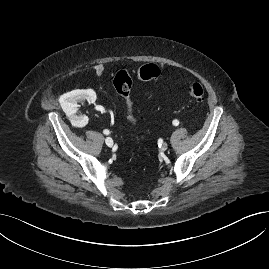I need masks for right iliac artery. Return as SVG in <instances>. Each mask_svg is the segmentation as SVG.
I'll list each match as a JSON object with an SVG mask.
<instances>
[{
	"label": "right iliac artery",
	"mask_w": 269,
	"mask_h": 269,
	"mask_svg": "<svg viewBox=\"0 0 269 269\" xmlns=\"http://www.w3.org/2000/svg\"><path fill=\"white\" fill-rule=\"evenodd\" d=\"M103 133H104L105 135H108V134H109V130L105 129V130L103 131Z\"/></svg>",
	"instance_id": "1"
}]
</instances>
